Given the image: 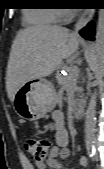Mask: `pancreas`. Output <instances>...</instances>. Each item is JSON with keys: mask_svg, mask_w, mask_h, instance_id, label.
I'll use <instances>...</instances> for the list:
<instances>
[{"mask_svg": "<svg viewBox=\"0 0 104 169\" xmlns=\"http://www.w3.org/2000/svg\"><path fill=\"white\" fill-rule=\"evenodd\" d=\"M71 67H72V65L66 66L65 69H66L67 71H69ZM69 72H70V71H69ZM77 76H78V75H74L73 77H74V78H77ZM58 80H59V81H64V80H66V78L63 77V76H61V75H59V76H58ZM76 91H77L76 96H77V97H80L81 89L77 88Z\"/></svg>", "mask_w": 104, "mask_h": 169, "instance_id": "pancreas-1", "label": "pancreas"}]
</instances>
